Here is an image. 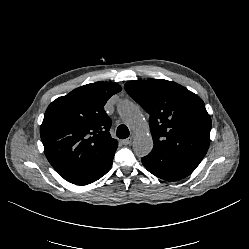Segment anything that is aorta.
<instances>
[{
  "label": "aorta",
  "mask_w": 249,
  "mask_h": 249,
  "mask_svg": "<svg viewBox=\"0 0 249 249\" xmlns=\"http://www.w3.org/2000/svg\"><path fill=\"white\" fill-rule=\"evenodd\" d=\"M118 113L126 125L134 131L133 150L138 157L148 155L153 148L149 125L139 108L129 100L119 102Z\"/></svg>",
  "instance_id": "aorta-1"
}]
</instances>
